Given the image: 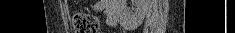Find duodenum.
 Returning <instances> with one entry per match:
<instances>
[{
  "mask_svg": "<svg viewBox=\"0 0 235 33\" xmlns=\"http://www.w3.org/2000/svg\"><path fill=\"white\" fill-rule=\"evenodd\" d=\"M100 7L103 5L107 13V22L109 25L114 26L117 23V9L116 5L111 1L99 2Z\"/></svg>",
  "mask_w": 235,
  "mask_h": 33,
  "instance_id": "410a0bca",
  "label": "duodenum"
}]
</instances>
